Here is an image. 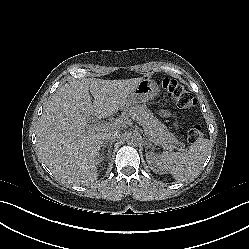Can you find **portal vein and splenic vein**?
<instances>
[{
	"label": "portal vein and splenic vein",
	"mask_w": 249,
	"mask_h": 249,
	"mask_svg": "<svg viewBox=\"0 0 249 249\" xmlns=\"http://www.w3.org/2000/svg\"><path fill=\"white\" fill-rule=\"evenodd\" d=\"M96 128H104V126L103 125H98V126H96Z\"/></svg>",
	"instance_id": "portal-vein-and-splenic-vein-1"
}]
</instances>
